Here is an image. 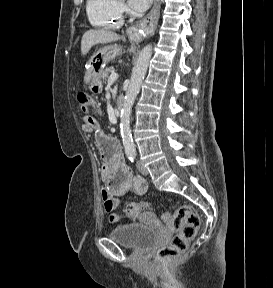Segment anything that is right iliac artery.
Wrapping results in <instances>:
<instances>
[{
  "label": "right iliac artery",
  "mask_w": 273,
  "mask_h": 288,
  "mask_svg": "<svg viewBox=\"0 0 273 288\" xmlns=\"http://www.w3.org/2000/svg\"><path fill=\"white\" fill-rule=\"evenodd\" d=\"M128 159H129L131 162H134V160H135V154H128Z\"/></svg>",
  "instance_id": "obj_1"
}]
</instances>
